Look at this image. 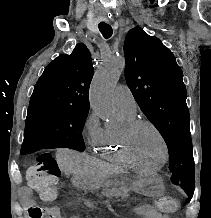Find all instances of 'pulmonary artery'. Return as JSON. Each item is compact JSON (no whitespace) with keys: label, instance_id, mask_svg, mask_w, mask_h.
<instances>
[{"label":"pulmonary artery","instance_id":"obj_1","mask_svg":"<svg viewBox=\"0 0 211 218\" xmlns=\"http://www.w3.org/2000/svg\"><path fill=\"white\" fill-rule=\"evenodd\" d=\"M114 101L117 108L135 114L137 103L132 91L126 85H119L115 90Z\"/></svg>","mask_w":211,"mask_h":218}]
</instances>
